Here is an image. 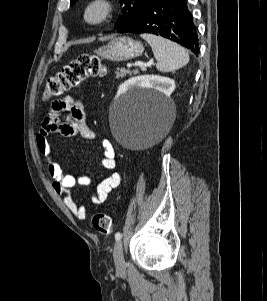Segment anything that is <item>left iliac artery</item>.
Listing matches in <instances>:
<instances>
[{
  "mask_svg": "<svg viewBox=\"0 0 267 301\" xmlns=\"http://www.w3.org/2000/svg\"><path fill=\"white\" fill-rule=\"evenodd\" d=\"M121 237H122V234H121L120 232H117V233L115 234V239H116V240H120Z\"/></svg>",
  "mask_w": 267,
  "mask_h": 301,
  "instance_id": "1",
  "label": "left iliac artery"
}]
</instances>
